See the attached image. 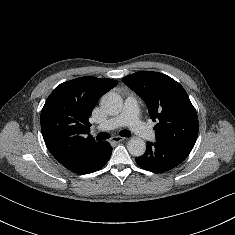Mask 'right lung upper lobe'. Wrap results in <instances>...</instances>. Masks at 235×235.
I'll list each match as a JSON object with an SVG mask.
<instances>
[{"label":"right lung upper lobe","instance_id":"1","mask_svg":"<svg viewBox=\"0 0 235 235\" xmlns=\"http://www.w3.org/2000/svg\"><path fill=\"white\" fill-rule=\"evenodd\" d=\"M117 85L112 79L85 76L58 85L41 111V130L51 154L71 170L98 142L88 122L98 100ZM88 134V136H86Z\"/></svg>","mask_w":235,"mask_h":235}]
</instances>
